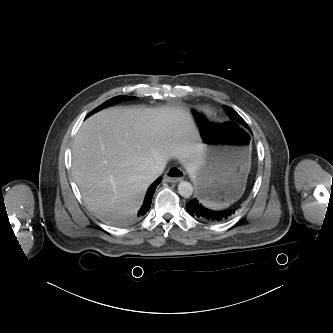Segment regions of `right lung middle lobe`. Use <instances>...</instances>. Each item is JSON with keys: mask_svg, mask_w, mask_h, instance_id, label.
I'll return each mask as SVG.
<instances>
[{"mask_svg": "<svg viewBox=\"0 0 333 333\" xmlns=\"http://www.w3.org/2000/svg\"><path fill=\"white\" fill-rule=\"evenodd\" d=\"M133 98L134 97L124 96V95L116 96L114 98H111V99L107 100L105 103H103L102 105H100L99 107L95 108L91 113L88 114V116H90L91 114H93V113H95V112H97V111H99V110H101V109H103V108H105L109 105H112L116 102H119V101H122V100H130V99H133Z\"/></svg>", "mask_w": 333, "mask_h": 333, "instance_id": "1", "label": "right lung middle lobe"}]
</instances>
